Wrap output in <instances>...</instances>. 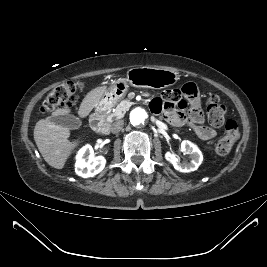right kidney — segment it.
Wrapping results in <instances>:
<instances>
[{"label":"right kidney","mask_w":267,"mask_h":267,"mask_svg":"<svg viewBox=\"0 0 267 267\" xmlns=\"http://www.w3.org/2000/svg\"><path fill=\"white\" fill-rule=\"evenodd\" d=\"M90 144L83 146L76 155L75 172L83 178L94 177L100 173L106 164L103 156L94 157Z\"/></svg>","instance_id":"right-kidney-1"}]
</instances>
